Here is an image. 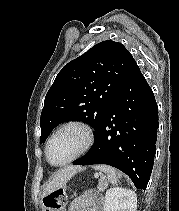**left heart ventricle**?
I'll return each instance as SVG.
<instances>
[{"mask_svg": "<svg viewBox=\"0 0 179 211\" xmlns=\"http://www.w3.org/2000/svg\"><path fill=\"white\" fill-rule=\"evenodd\" d=\"M83 142L82 133L74 128L63 130L51 141L48 156L52 163L60 164L71 158Z\"/></svg>", "mask_w": 179, "mask_h": 211, "instance_id": "1", "label": "left heart ventricle"}]
</instances>
